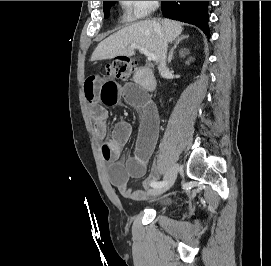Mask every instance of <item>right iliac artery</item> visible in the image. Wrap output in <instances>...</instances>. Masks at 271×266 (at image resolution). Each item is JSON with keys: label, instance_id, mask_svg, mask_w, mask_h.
<instances>
[{"label": "right iliac artery", "instance_id": "82829eb1", "mask_svg": "<svg viewBox=\"0 0 271 266\" xmlns=\"http://www.w3.org/2000/svg\"><path fill=\"white\" fill-rule=\"evenodd\" d=\"M165 184V181H155V182H152L151 183V186L154 187V188H157V187H161Z\"/></svg>", "mask_w": 271, "mask_h": 266}]
</instances>
